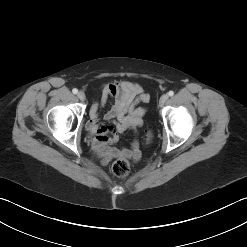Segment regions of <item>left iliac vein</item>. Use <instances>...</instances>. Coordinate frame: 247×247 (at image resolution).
<instances>
[{
    "label": "left iliac vein",
    "instance_id": "1",
    "mask_svg": "<svg viewBox=\"0 0 247 247\" xmlns=\"http://www.w3.org/2000/svg\"><path fill=\"white\" fill-rule=\"evenodd\" d=\"M168 95L167 94H163L162 96H161V98H160V105L161 106H163L166 102H167V100H168Z\"/></svg>",
    "mask_w": 247,
    "mask_h": 247
}]
</instances>
